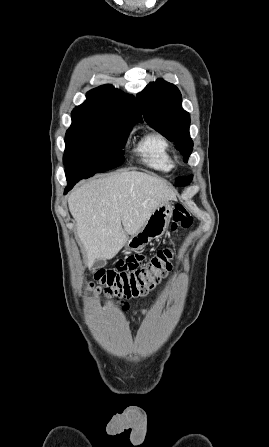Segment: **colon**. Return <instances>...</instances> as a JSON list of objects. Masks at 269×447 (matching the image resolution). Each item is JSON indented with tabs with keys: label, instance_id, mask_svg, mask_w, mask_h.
Segmentation results:
<instances>
[{
	"label": "colon",
	"instance_id": "5ec220e1",
	"mask_svg": "<svg viewBox=\"0 0 269 447\" xmlns=\"http://www.w3.org/2000/svg\"><path fill=\"white\" fill-rule=\"evenodd\" d=\"M191 223L192 215L183 205H177L172 212L170 231L174 233ZM147 258L142 253H127L126 257H119L115 266H108L106 271H96L90 275L85 282L86 293H104L128 299L150 294L171 272L174 252L163 249L150 259ZM107 301H114V298H107Z\"/></svg>",
	"mask_w": 269,
	"mask_h": 447
}]
</instances>
